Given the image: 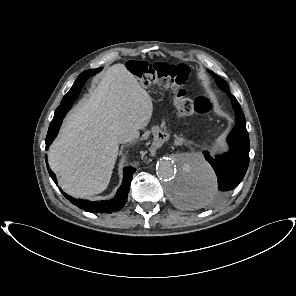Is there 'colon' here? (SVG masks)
I'll use <instances>...</instances> for the list:
<instances>
[{
  "mask_svg": "<svg viewBox=\"0 0 296 296\" xmlns=\"http://www.w3.org/2000/svg\"><path fill=\"white\" fill-rule=\"evenodd\" d=\"M129 71L146 86L158 85L173 91V100L180 116L203 115L212 109L206 97L190 98L186 92L189 69L185 65L129 61Z\"/></svg>",
  "mask_w": 296,
  "mask_h": 296,
  "instance_id": "1",
  "label": "colon"
}]
</instances>
